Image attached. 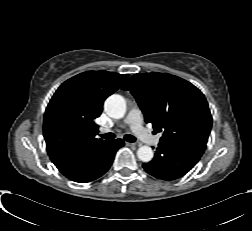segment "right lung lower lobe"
<instances>
[{"mask_svg":"<svg viewBox=\"0 0 252 231\" xmlns=\"http://www.w3.org/2000/svg\"><path fill=\"white\" fill-rule=\"evenodd\" d=\"M122 146H124V141L116 139L93 149L86 154L81 172L71 179L75 182L86 183L99 178L108 171L116 151Z\"/></svg>","mask_w":252,"mask_h":231,"instance_id":"1","label":"right lung lower lobe"}]
</instances>
